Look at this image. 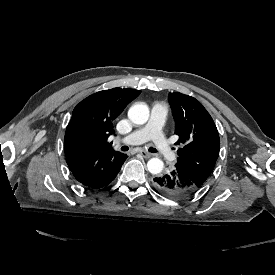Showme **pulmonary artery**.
<instances>
[{
    "label": "pulmonary artery",
    "mask_w": 275,
    "mask_h": 275,
    "mask_svg": "<svg viewBox=\"0 0 275 275\" xmlns=\"http://www.w3.org/2000/svg\"><path fill=\"white\" fill-rule=\"evenodd\" d=\"M165 116L166 113L163 107L160 105L155 106L150 113V122L146 125L136 127L131 134L119 140L118 143L141 144L146 139L150 138L155 148L159 149L167 160L176 161L175 151L169 147L166 137H164L162 131H160L161 126H163L165 122Z\"/></svg>",
    "instance_id": "obj_1"
}]
</instances>
